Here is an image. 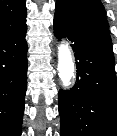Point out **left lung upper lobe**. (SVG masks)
Returning a JSON list of instances; mask_svg holds the SVG:
<instances>
[{
	"instance_id": "obj_1",
	"label": "left lung upper lobe",
	"mask_w": 117,
	"mask_h": 136,
	"mask_svg": "<svg viewBox=\"0 0 117 136\" xmlns=\"http://www.w3.org/2000/svg\"><path fill=\"white\" fill-rule=\"evenodd\" d=\"M55 16L89 29L109 32L100 0H57Z\"/></svg>"
}]
</instances>
